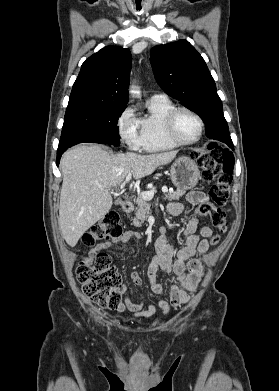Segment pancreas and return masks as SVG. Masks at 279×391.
Returning <instances> with one entry per match:
<instances>
[{
    "label": "pancreas",
    "instance_id": "1",
    "mask_svg": "<svg viewBox=\"0 0 279 391\" xmlns=\"http://www.w3.org/2000/svg\"><path fill=\"white\" fill-rule=\"evenodd\" d=\"M184 194H185L184 191L177 190L166 194L165 197L169 201L179 200V198L182 197ZM136 204L137 207L135 210V218L133 219V222L134 224L138 225L146 221L149 215L151 214V204L147 200H144L142 197H139L136 200Z\"/></svg>",
    "mask_w": 279,
    "mask_h": 391
}]
</instances>
